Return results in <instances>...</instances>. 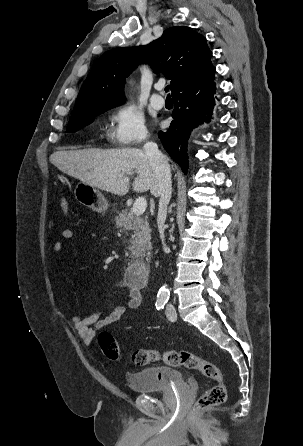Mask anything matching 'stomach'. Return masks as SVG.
Masks as SVG:
<instances>
[{
    "mask_svg": "<svg viewBox=\"0 0 303 446\" xmlns=\"http://www.w3.org/2000/svg\"><path fill=\"white\" fill-rule=\"evenodd\" d=\"M76 200L98 213H104L108 209V202L104 195L91 185L79 182L74 190Z\"/></svg>",
    "mask_w": 303,
    "mask_h": 446,
    "instance_id": "stomach-1",
    "label": "stomach"
}]
</instances>
